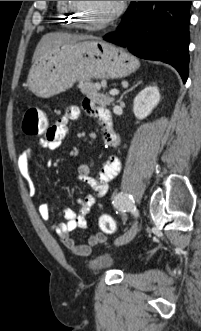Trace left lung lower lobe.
Listing matches in <instances>:
<instances>
[{
	"instance_id": "left-lung-lower-lobe-1",
	"label": "left lung lower lobe",
	"mask_w": 201,
	"mask_h": 331,
	"mask_svg": "<svg viewBox=\"0 0 201 331\" xmlns=\"http://www.w3.org/2000/svg\"><path fill=\"white\" fill-rule=\"evenodd\" d=\"M191 2L132 1L117 30L103 39L127 47L138 57L171 64L185 83Z\"/></svg>"
}]
</instances>
